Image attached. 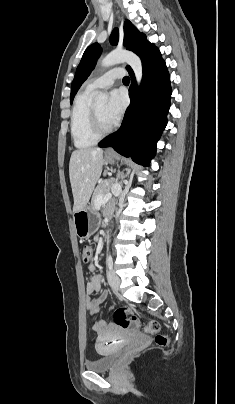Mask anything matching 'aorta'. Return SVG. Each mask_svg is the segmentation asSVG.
I'll return each mask as SVG.
<instances>
[{
    "label": "aorta",
    "mask_w": 235,
    "mask_h": 404,
    "mask_svg": "<svg viewBox=\"0 0 235 404\" xmlns=\"http://www.w3.org/2000/svg\"><path fill=\"white\" fill-rule=\"evenodd\" d=\"M119 63H127L132 68L139 85L143 76L142 62L140 58L130 51L114 50L101 60V65L103 67H110ZM107 99V95L102 92H97L94 97V103L97 106H101L107 102Z\"/></svg>",
    "instance_id": "762f6f07"
}]
</instances>
